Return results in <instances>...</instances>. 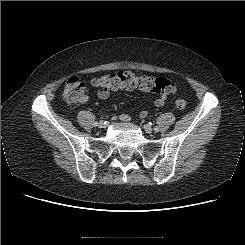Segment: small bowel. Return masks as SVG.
Wrapping results in <instances>:
<instances>
[{"instance_id": "c3829d8e", "label": "small bowel", "mask_w": 245, "mask_h": 245, "mask_svg": "<svg viewBox=\"0 0 245 245\" xmlns=\"http://www.w3.org/2000/svg\"><path fill=\"white\" fill-rule=\"evenodd\" d=\"M97 96L100 99H107L110 96V92L109 91H103V90H98L97 91ZM87 100V97L85 96L82 100V102H85ZM166 102V96H160L159 98H157L154 102L155 106L157 107H162ZM148 115V110L147 109H142L139 113L140 118H146ZM120 119L124 122H129L130 121V117L127 114H122L120 116Z\"/></svg>"}]
</instances>
